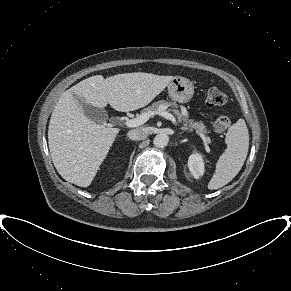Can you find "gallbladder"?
Returning a JSON list of instances; mask_svg holds the SVG:
<instances>
[{
    "mask_svg": "<svg viewBox=\"0 0 291 291\" xmlns=\"http://www.w3.org/2000/svg\"><path fill=\"white\" fill-rule=\"evenodd\" d=\"M77 100L78 104L82 107L84 114L91 121L104 123L108 119V114L104 109L89 105L83 99L77 98Z\"/></svg>",
    "mask_w": 291,
    "mask_h": 291,
    "instance_id": "obj_1",
    "label": "gallbladder"
}]
</instances>
